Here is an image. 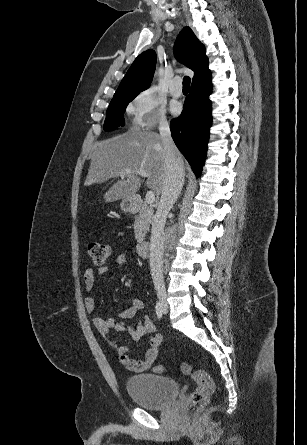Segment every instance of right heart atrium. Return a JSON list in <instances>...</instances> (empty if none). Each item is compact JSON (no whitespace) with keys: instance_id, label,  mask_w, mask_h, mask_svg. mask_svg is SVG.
I'll use <instances>...</instances> for the list:
<instances>
[{"instance_id":"1","label":"right heart atrium","mask_w":307,"mask_h":445,"mask_svg":"<svg viewBox=\"0 0 307 445\" xmlns=\"http://www.w3.org/2000/svg\"><path fill=\"white\" fill-rule=\"evenodd\" d=\"M133 123L136 127L152 129L166 124L165 102L152 88H147L136 97Z\"/></svg>"}]
</instances>
